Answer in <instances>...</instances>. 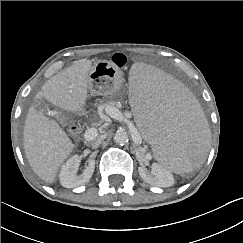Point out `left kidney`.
<instances>
[{
    "label": "left kidney",
    "mask_w": 243,
    "mask_h": 243,
    "mask_svg": "<svg viewBox=\"0 0 243 243\" xmlns=\"http://www.w3.org/2000/svg\"><path fill=\"white\" fill-rule=\"evenodd\" d=\"M141 178L150 185L169 187L174 184L172 173L160 164L154 163L151 171L143 167L138 168Z\"/></svg>",
    "instance_id": "left-kidney-1"
}]
</instances>
